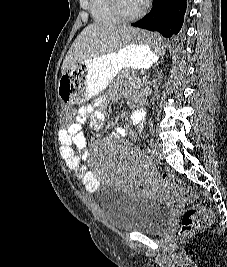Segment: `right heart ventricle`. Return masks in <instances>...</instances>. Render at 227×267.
Masks as SVG:
<instances>
[{
    "instance_id": "1",
    "label": "right heart ventricle",
    "mask_w": 227,
    "mask_h": 267,
    "mask_svg": "<svg viewBox=\"0 0 227 267\" xmlns=\"http://www.w3.org/2000/svg\"><path fill=\"white\" fill-rule=\"evenodd\" d=\"M93 19L99 24H116L120 19L114 14L110 0H90Z\"/></svg>"
}]
</instances>
